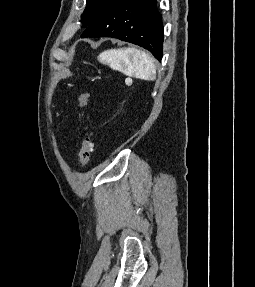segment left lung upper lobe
<instances>
[{
  "mask_svg": "<svg viewBox=\"0 0 255 287\" xmlns=\"http://www.w3.org/2000/svg\"><path fill=\"white\" fill-rule=\"evenodd\" d=\"M113 0H86L87 6L82 15V28L87 27L98 15H100Z\"/></svg>",
  "mask_w": 255,
  "mask_h": 287,
  "instance_id": "1",
  "label": "left lung upper lobe"
}]
</instances>
